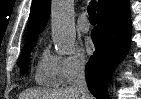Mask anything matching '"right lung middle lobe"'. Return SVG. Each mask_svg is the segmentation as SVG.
I'll return each instance as SVG.
<instances>
[{"label":"right lung middle lobe","mask_w":141,"mask_h":99,"mask_svg":"<svg viewBox=\"0 0 141 99\" xmlns=\"http://www.w3.org/2000/svg\"><path fill=\"white\" fill-rule=\"evenodd\" d=\"M36 43L25 44L21 52V66L20 71L22 74L28 71L29 67V54L31 49Z\"/></svg>","instance_id":"dd1d6c3e"}]
</instances>
